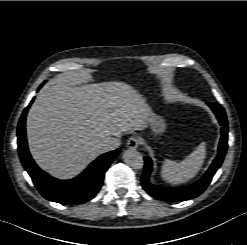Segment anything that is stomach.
Masks as SVG:
<instances>
[{
  "label": "stomach",
  "mask_w": 247,
  "mask_h": 245,
  "mask_svg": "<svg viewBox=\"0 0 247 245\" xmlns=\"http://www.w3.org/2000/svg\"><path fill=\"white\" fill-rule=\"evenodd\" d=\"M149 121L153 137L159 140L167 129L166 120L158 114H152Z\"/></svg>",
  "instance_id": "stomach-1"
}]
</instances>
